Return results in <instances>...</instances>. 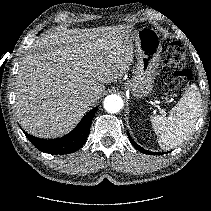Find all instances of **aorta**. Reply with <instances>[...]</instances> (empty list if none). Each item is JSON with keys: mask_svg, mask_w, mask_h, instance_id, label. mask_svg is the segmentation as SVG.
<instances>
[{"mask_svg": "<svg viewBox=\"0 0 211 211\" xmlns=\"http://www.w3.org/2000/svg\"><path fill=\"white\" fill-rule=\"evenodd\" d=\"M123 99L116 94H111L104 99V108L109 113H117L123 108Z\"/></svg>", "mask_w": 211, "mask_h": 211, "instance_id": "obj_1", "label": "aorta"}]
</instances>
